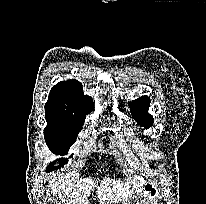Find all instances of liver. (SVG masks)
<instances>
[{
    "label": "liver",
    "instance_id": "obj_1",
    "mask_svg": "<svg viewBox=\"0 0 206 204\" xmlns=\"http://www.w3.org/2000/svg\"><path fill=\"white\" fill-rule=\"evenodd\" d=\"M79 177L80 174L76 171L53 177L49 181L53 196H56L65 204H89L88 197L95 186V182L91 177L84 179ZM145 182L144 178L138 175L129 176L123 182L110 179L107 176L100 181L96 190V197L100 204H127L132 195L142 191Z\"/></svg>",
    "mask_w": 206,
    "mask_h": 204
}]
</instances>
